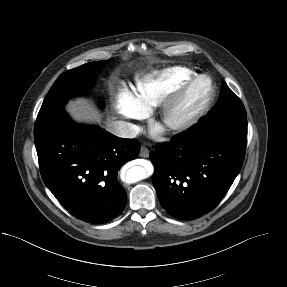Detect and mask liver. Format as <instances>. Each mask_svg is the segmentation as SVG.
<instances>
[{
	"mask_svg": "<svg viewBox=\"0 0 287 287\" xmlns=\"http://www.w3.org/2000/svg\"><path fill=\"white\" fill-rule=\"evenodd\" d=\"M67 112L77 122L92 123L98 121L100 116L99 113L87 102L85 99H76L70 101L66 106ZM112 120L107 122V129L109 130Z\"/></svg>",
	"mask_w": 287,
	"mask_h": 287,
	"instance_id": "liver-1",
	"label": "liver"
}]
</instances>
